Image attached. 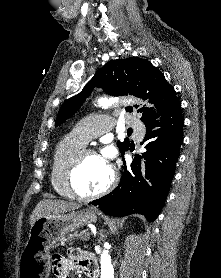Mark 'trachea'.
Instances as JSON below:
<instances>
[{
    "instance_id": "trachea-1",
    "label": "trachea",
    "mask_w": 221,
    "mask_h": 278,
    "mask_svg": "<svg viewBox=\"0 0 221 278\" xmlns=\"http://www.w3.org/2000/svg\"><path fill=\"white\" fill-rule=\"evenodd\" d=\"M127 133H132V130H128Z\"/></svg>"
}]
</instances>
